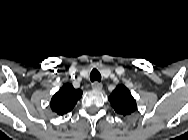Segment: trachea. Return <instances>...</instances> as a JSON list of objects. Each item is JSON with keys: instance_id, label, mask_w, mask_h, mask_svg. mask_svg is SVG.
Wrapping results in <instances>:
<instances>
[{"instance_id": "trachea-1", "label": "trachea", "mask_w": 188, "mask_h": 140, "mask_svg": "<svg viewBox=\"0 0 188 140\" xmlns=\"http://www.w3.org/2000/svg\"><path fill=\"white\" fill-rule=\"evenodd\" d=\"M90 80L92 82L94 81H98L100 82L101 81V74L99 73V71L97 69H93L90 73Z\"/></svg>"}]
</instances>
